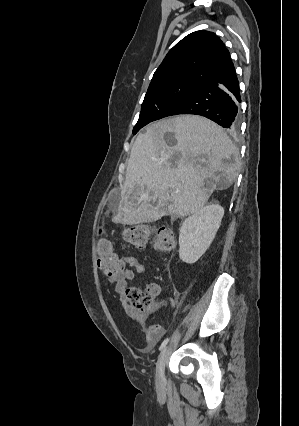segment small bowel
Wrapping results in <instances>:
<instances>
[{"label": "small bowel", "mask_w": 299, "mask_h": 426, "mask_svg": "<svg viewBox=\"0 0 299 426\" xmlns=\"http://www.w3.org/2000/svg\"><path fill=\"white\" fill-rule=\"evenodd\" d=\"M121 263L128 265L129 268H123V270L113 276L106 275L109 283L114 284L115 293L117 294L119 300L124 304L125 311L128 316H135V311L132 307L127 305V287L129 282L134 278L135 273L144 274L146 272L145 266L139 261L135 256H123L119 258ZM148 289L152 292L154 296H158L160 293V288L157 284H150ZM165 334V328L162 324L151 326L146 331V342L147 349L155 345Z\"/></svg>", "instance_id": "obj_1"}]
</instances>
